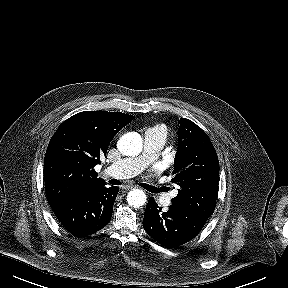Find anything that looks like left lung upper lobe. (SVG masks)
<instances>
[{"mask_svg":"<svg viewBox=\"0 0 288 288\" xmlns=\"http://www.w3.org/2000/svg\"><path fill=\"white\" fill-rule=\"evenodd\" d=\"M173 183L179 193L172 204L209 218L214 211L219 161L207 134L192 121L181 118Z\"/></svg>","mask_w":288,"mask_h":288,"instance_id":"1","label":"left lung upper lobe"}]
</instances>
